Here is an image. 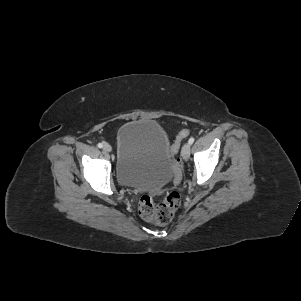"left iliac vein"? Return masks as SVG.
<instances>
[{
	"label": "left iliac vein",
	"instance_id": "4c4485c4",
	"mask_svg": "<svg viewBox=\"0 0 301 301\" xmlns=\"http://www.w3.org/2000/svg\"><path fill=\"white\" fill-rule=\"evenodd\" d=\"M181 155L185 161L188 160L189 155H190V144L185 143L182 147Z\"/></svg>",
	"mask_w": 301,
	"mask_h": 301
}]
</instances>
